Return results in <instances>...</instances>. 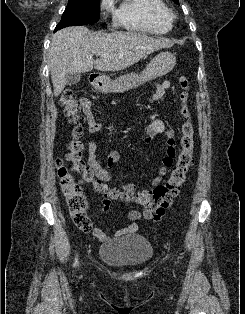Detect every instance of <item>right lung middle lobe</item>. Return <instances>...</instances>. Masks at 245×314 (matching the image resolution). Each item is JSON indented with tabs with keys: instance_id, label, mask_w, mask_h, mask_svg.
Here are the masks:
<instances>
[{
	"instance_id": "obj_1",
	"label": "right lung middle lobe",
	"mask_w": 245,
	"mask_h": 314,
	"mask_svg": "<svg viewBox=\"0 0 245 314\" xmlns=\"http://www.w3.org/2000/svg\"><path fill=\"white\" fill-rule=\"evenodd\" d=\"M100 18V0H69L55 31L67 26L95 23Z\"/></svg>"
}]
</instances>
